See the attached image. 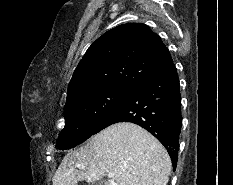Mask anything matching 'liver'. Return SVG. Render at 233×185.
I'll list each match as a JSON object with an SVG mask.
<instances>
[{"label":"liver","instance_id":"6515ba94","mask_svg":"<svg viewBox=\"0 0 233 185\" xmlns=\"http://www.w3.org/2000/svg\"><path fill=\"white\" fill-rule=\"evenodd\" d=\"M171 168L167 150L153 135L123 122L105 128L68 153L53 177V185H77L83 180L94 183L109 173L116 185H167ZM105 185L112 183L108 180Z\"/></svg>","mask_w":233,"mask_h":185}]
</instances>
